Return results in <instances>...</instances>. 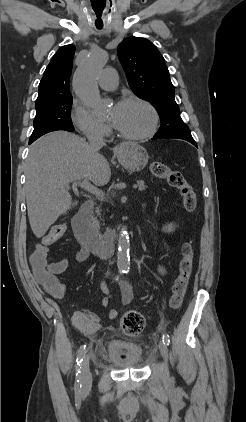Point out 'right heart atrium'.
I'll return each instance as SVG.
<instances>
[{
    "label": "right heart atrium",
    "instance_id": "obj_1",
    "mask_svg": "<svg viewBox=\"0 0 246 422\" xmlns=\"http://www.w3.org/2000/svg\"><path fill=\"white\" fill-rule=\"evenodd\" d=\"M71 119L77 130L89 139H99L109 134V127L94 118L90 112L78 103H74Z\"/></svg>",
    "mask_w": 246,
    "mask_h": 422
}]
</instances>
